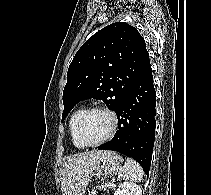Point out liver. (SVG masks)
I'll return each instance as SVG.
<instances>
[{"instance_id":"obj_1","label":"liver","mask_w":211,"mask_h":195,"mask_svg":"<svg viewBox=\"0 0 211 195\" xmlns=\"http://www.w3.org/2000/svg\"><path fill=\"white\" fill-rule=\"evenodd\" d=\"M102 151H91L72 156L61 171L62 195H83L88 185L95 160Z\"/></svg>"}]
</instances>
